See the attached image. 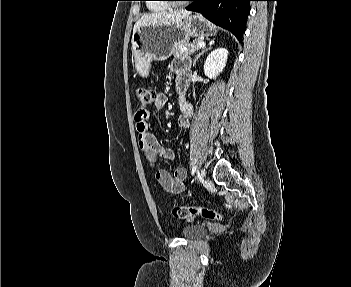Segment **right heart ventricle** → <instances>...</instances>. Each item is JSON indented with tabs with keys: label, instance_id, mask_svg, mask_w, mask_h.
<instances>
[{
	"label": "right heart ventricle",
	"instance_id": "1",
	"mask_svg": "<svg viewBox=\"0 0 351 287\" xmlns=\"http://www.w3.org/2000/svg\"><path fill=\"white\" fill-rule=\"evenodd\" d=\"M153 2V3H152ZM157 2V1H156ZM155 1H151V3L148 4V8L151 10V11H154V12H158V11H162V10H165L166 7L164 4H161V3H156Z\"/></svg>",
	"mask_w": 351,
	"mask_h": 287
}]
</instances>
